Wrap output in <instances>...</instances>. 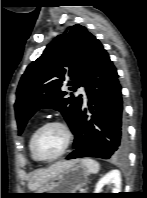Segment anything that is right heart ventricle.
Returning <instances> with one entry per match:
<instances>
[{"label": "right heart ventricle", "mask_w": 147, "mask_h": 198, "mask_svg": "<svg viewBox=\"0 0 147 198\" xmlns=\"http://www.w3.org/2000/svg\"><path fill=\"white\" fill-rule=\"evenodd\" d=\"M33 133H34V131L31 133V135H30V137H29L28 147H29V152H30V155H31L32 159H33L34 161H38V160L34 157V155L32 154L31 147H30L31 138H32Z\"/></svg>", "instance_id": "e07e8e85"}]
</instances>
